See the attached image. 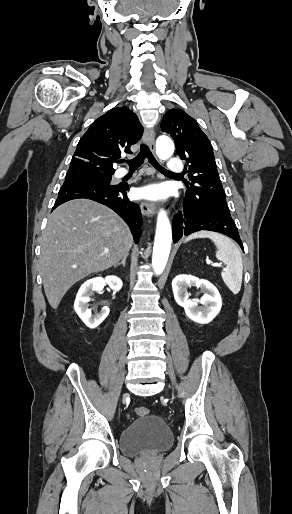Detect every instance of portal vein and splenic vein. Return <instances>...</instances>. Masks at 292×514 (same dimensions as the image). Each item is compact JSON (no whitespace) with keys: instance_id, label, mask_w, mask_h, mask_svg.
<instances>
[{"instance_id":"1","label":"portal vein and splenic vein","mask_w":292,"mask_h":514,"mask_svg":"<svg viewBox=\"0 0 292 514\" xmlns=\"http://www.w3.org/2000/svg\"><path fill=\"white\" fill-rule=\"evenodd\" d=\"M105 254H108V250H104ZM207 264H211V266H221V264H212L210 260H207Z\"/></svg>"}]
</instances>
